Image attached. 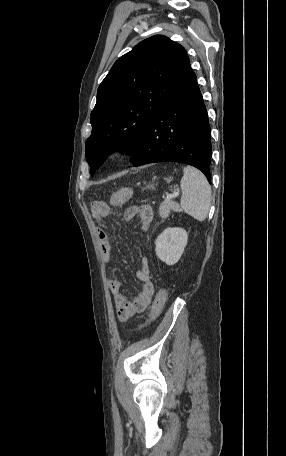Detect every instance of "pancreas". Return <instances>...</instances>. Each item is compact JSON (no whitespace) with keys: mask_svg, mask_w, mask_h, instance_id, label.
Listing matches in <instances>:
<instances>
[{"mask_svg":"<svg viewBox=\"0 0 286 456\" xmlns=\"http://www.w3.org/2000/svg\"><path fill=\"white\" fill-rule=\"evenodd\" d=\"M171 210L175 212H181V208L178 203L166 199L161 203L159 207V216L162 219H166L169 216Z\"/></svg>","mask_w":286,"mask_h":456,"instance_id":"obj_1","label":"pancreas"}]
</instances>
